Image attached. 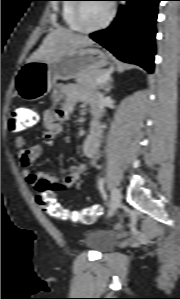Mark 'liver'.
I'll list each match as a JSON object with an SVG mask.
<instances>
[{
    "label": "liver",
    "mask_w": 180,
    "mask_h": 299,
    "mask_svg": "<svg viewBox=\"0 0 180 299\" xmlns=\"http://www.w3.org/2000/svg\"><path fill=\"white\" fill-rule=\"evenodd\" d=\"M93 43L87 36L58 27L44 38L40 47L29 57L27 62L50 61L65 52L81 49Z\"/></svg>",
    "instance_id": "6515ba94"
}]
</instances>
